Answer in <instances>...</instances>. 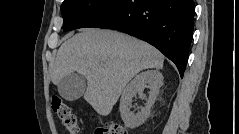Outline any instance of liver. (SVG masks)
<instances>
[{"label":"liver","instance_id":"obj_1","mask_svg":"<svg viewBox=\"0 0 239 134\" xmlns=\"http://www.w3.org/2000/svg\"><path fill=\"white\" fill-rule=\"evenodd\" d=\"M164 56L150 44L129 35L95 28L84 29L65 41L50 65L51 80L73 72L87 79L84 99L107 116L127 83L141 70L162 69Z\"/></svg>","mask_w":239,"mask_h":134}]
</instances>
